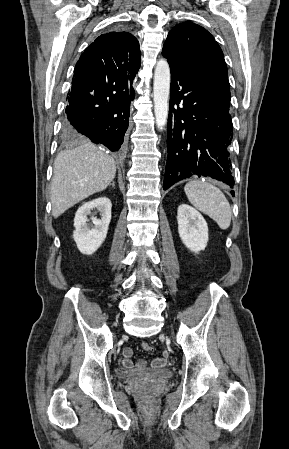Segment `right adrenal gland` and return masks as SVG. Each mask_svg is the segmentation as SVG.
Wrapping results in <instances>:
<instances>
[{
    "label": "right adrenal gland",
    "mask_w": 289,
    "mask_h": 449,
    "mask_svg": "<svg viewBox=\"0 0 289 449\" xmlns=\"http://www.w3.org/2000/svg\"><path fill=\"white\" fill-rule=\"evenodd\" d=\"M111 186L115 189V182L112 181Z\"/></svg>",
    "instance_id": "obj_1"
}]
</instances>
